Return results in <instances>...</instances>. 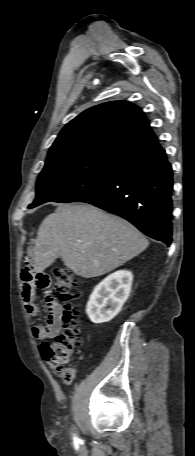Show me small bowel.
<instances>
[{"mask_svg":"<svg viewBox=\"0 0 195 456\" xmlns=\"http://www.w3.org/2000/svg\"><path fill=\"white\" fill-rule=\"evenodd\" d=\"M51 285L50 277L42 272H36L31 263L29 251L25 266L22 270V297L26 313L29 317H36L39 309L35 303V288L47 290ZM49 315L45 325H36L32 328L33 336L38 340H47L58 334L61 328L60 305L47 296Z\"/></svg>","mask_w":195,"mask_h":456,"instance_id":"small-bowel-1","label":"small bowel"}]
</instances>
